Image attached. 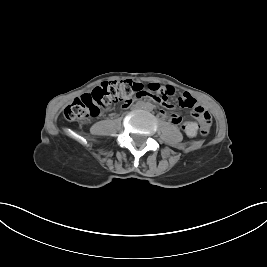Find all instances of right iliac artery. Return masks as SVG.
<instances>
[{
	"label": "right iliac artery",
	"mask_w": 267,
	"mask_h": 267,
	"mask_svg": "<svg viewBox=\"0 0 267 267\" xmlns=\"http://www.w3.org/2000/svg\"><path fill=\"white\" fill-rule=\"evenodd\" d=\"M138 105H139V106H143L144 104H143L142 102H139Z\"/></svg>",
	"instance_id": "right-iliac-artery-1"
}]
</instances>
